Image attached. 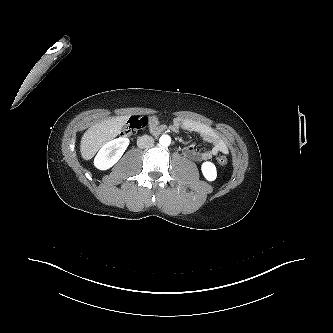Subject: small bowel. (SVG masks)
I'll return each instance as SVG.
<instances>
[{
	"instance_id": "obj_1",
	"label": "small bowel",
	"mask_w": 333,
	"mask_h": 333,
	"mask_svg": "<svg viewBox=\"0 0 333 333\" xmlns=\"http://www.w3.org/2000/svg\"><path fill=\"white\" fill-rule=\"evenodd\" d=\"M149 128L152 133H159L165 126L160 123L155 116L149 118ZM170 128L174 131L184 129L198 134L203 141L212 145L210 150L200 151L196 149L194 144H189L184 148V154L197 162H202L211 159L217 153H227L228 147L223 138L212 127L201 122L187 119L177 118L171 124Z\"/></svg>"
}]
</instances>
